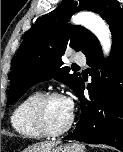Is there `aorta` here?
Segmentation results:
<instances>
[{
  "label": "aorta",
  "mask_w": 123,
  "mask_h": 152,
  "mask_svg": "<svg viewBox=\"0 0 123 152\" xmlns=\"http://www.w3.org/2000/svg\"><path fill=\"white\" fill-rule=\"evenodd\" d=\"M73 24L82 25L96 35L101 43L104 54L107 56L111 49V33L105 21L91 12H81L71 19Z\"/></svg>",
  "instance_id": "aorta-1"
}]
</instances>
